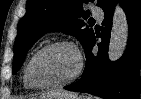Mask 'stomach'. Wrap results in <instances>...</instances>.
<instances>
[{
    "label": "stomach",
    "mask_w": 141,
    "mask_h": 99,
    "mask_svg": "<svg viewBox=\"0 0 141 99\" xmlns=\"http://www.w3.org/2000/svg\"><path fill=\"white\" fill-rule=\"evenodd\" d=\"M36 99H50V98H47V97H45V98L39 97V98H36Z\"/></svg>",
    "instance_id": "obj_1"
}]
</instances>
